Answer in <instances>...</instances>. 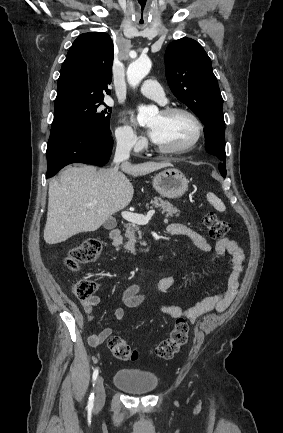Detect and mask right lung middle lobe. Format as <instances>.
Returning <instances> with one entry per match:
<instances>
[{
    "label": "right lung middle lobe",
    "instance_id": "1",
    "mask_svg": "<svg viewBox=\"0 0 283 433\" xmlns=\"http://www.w3.org/2000/svg\"><path fill=\"white\" fill-rule=\"evenodd\" d=\"M110 111L111 108L103 100L71 106L54 112L51 129L83 127L110 135Z\"/></svg>",
    "mask_w": 283,
    "mask_h": 433
}]
</instances>
